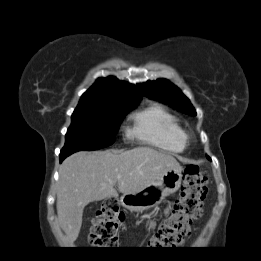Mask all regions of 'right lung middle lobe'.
Returning a JSON list of instances; mask_svg holds the SVG:
<instances>
[{
  "mask_svg": "<svg viewBox=\"0 0 261 261\" xmlns=\"http://www.w3.org/2000/svg\"><path fill=\"white\" fill-rule=\"evenodd\" d=\"M139 101L115 98L80 101L72 114L61 154L96 150L113 144L124 115L134 109Z\"/></svg>",
  "mask_w": 261,
  "mask_h": 261,
  "instance_id": "dd1d6c3e",
  "label": "right lung middle lobe"
}]
</instances>
